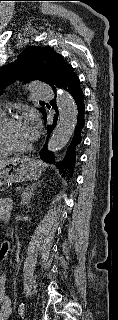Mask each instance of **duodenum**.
I'll return each instance as SVG.
<instances>
[{
    "mask_svg": "<svg viewBox=\"0 0 118 320\" xmlns=\"http://www.w3.org/2000/svg\"><path fill=\"white\" fill-rule=\"evenodd\" d=\"M1 218H2V219H5V216H4V217H0V219H1Z\"/></svg>",
    "mask_w": 118,
    "mask_h": 320,
    "instance_id": "obj_1",
    "label": "duodenum"
}]
</instances>
